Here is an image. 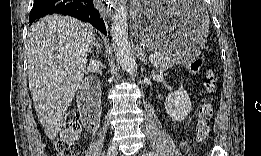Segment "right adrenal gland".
<instances>
[{
    "mask_svg": "<svg viewBox=\"0 0 261 156\" xmlns=\"http://www.w3.org/2000/svg\"><path fill=\"white\" fill-rule=\"evenodd\" d=\"M95 47L96 50H97V53H100L99 52V48H100V43L97 39H94V41L92 42V44L90 45L89 49H88V52L91 53L92 51V48Z\"/></svg>",
    "mask_w": 261,
    "mask_h": 156,
    "instance_id": "obj_1",
    "label": "right adrenal gland"
}]
</instances>
